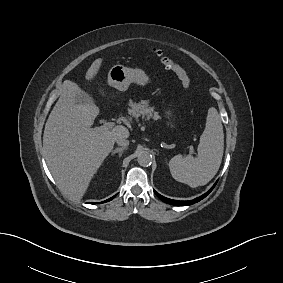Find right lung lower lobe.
I'll use <instances>...</instances> for the list:
<instances>
[{"instance_id": "right-lung-lower-lobe-1", "label": "right lung lower lobe", "mask_w": 283, "mask_h": 283, "mask_svg": "<svg viewBox=\"0 0 283 283\" xmlns=\"http://www.w3.org/2000/svg\"><path fill=\"white\" fill-rule=\"evenodd\" d=\"M114 197H115V196L111 197L110 199L106 200L105 202L112 200Z\"/></svg>"}]
</instances>
